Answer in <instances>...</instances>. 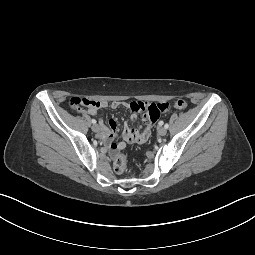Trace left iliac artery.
Segmentation results:
<instances>
[{
    "instance_id": "44dca946",
    "label": "left iliac artery",
    "mask_w": 255,
    "mask_h": 255,
    "mask_svg": "<svg viewBox=\"0 0 255 255\" xmlns=\"http://www.w3.org/2000/svg\"><path fill=\"white\" fill-rule=\"evenodd\" d=\"M164 127H165L166 129H168L169 124H168V123H166V124L164 125Z\"/></svg>"
}]
</instances>
